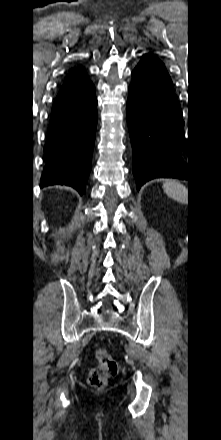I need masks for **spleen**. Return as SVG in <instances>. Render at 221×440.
Listing matches in <instances>:
<instances>
[{
  "instance_id": "spleen-1",
  "label": "spleen",
  "mask_w": 221,
  "mask_h": 440,
  "mask_svg": "<svg viewBox=\"0 0 221 440\" xmlns=\"http://www.w3.org/2000/svg\"><path fill=\"white\" fill-rule=\"evenodd\" d=\"M163 190L170 198L180 203L187 201L188 189L176 180L167 179L163 183Z\"/></svg>"
}]
</instances>
